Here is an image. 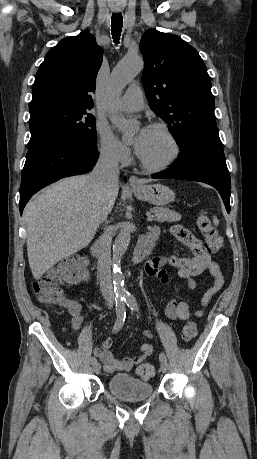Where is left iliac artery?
<instances>
[{"mask_svg":"<svg viewBox=\"0 0 257 459\" xmlns=\"http://www.w3.org/2000/svg\"><path fill=\"white\" fill-rule=\"evenodd\" d=\"M124 298V302L127 304V306L131 309V310H134V311H138V304L136 302V299L134 298L133 295H131L130 293H127L123 296ZM159 360L160 361H167V357L165 355L164 352H161L159 354Z\"/></svg>","mask_w":257,"mask_h":459,"instance_id":"44dca946","label":"left iliac artery"}]
</instances>
